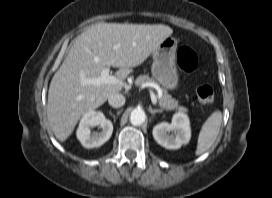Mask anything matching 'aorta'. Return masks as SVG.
Returning <instances> with one entry per match:
<instances>
[{"mask_svg": "<svg viewBox=\"0 0 272 198\" xmlns=\"http://www.w3.org/2000/svg\"><path fill=\"white\" fill-rule=\"evenodd\" d=\"M146 115L145 112L140 109H134L130 114V122L134 126H139L145 122Z\"/></svg>", "mask_w": 272, "mask_h": 198, "instance_id": "aorta-1", "label": "aorta"}]
</instances>
